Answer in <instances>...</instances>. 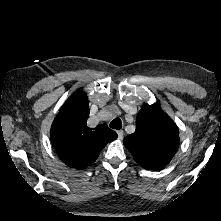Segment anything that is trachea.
I'll return each instance as SVG.
<instances>
[{
	"label": "trachea",
	"instance_id": "trachea-1",
	"mask_svg": "<svg viewBox=\"0 0 221 221\" xmlns=\"http://www.w3.org/2000/svg\"><path fill=\"white\" fill-rule=\"evenodd\" d=\"M110 127L116 130H120L122 128V122L119 118H115L111 123Z\"/></svg>",
	"mask_w": 221,
	"mask_h": 221
}]
</instances>
